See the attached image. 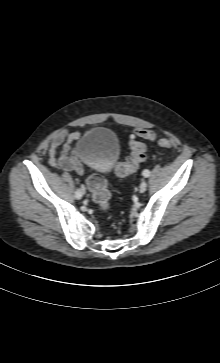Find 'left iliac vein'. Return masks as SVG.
I'll return each mask as SVG.
<instances>
[{
    "label": "left iliac vein",
    "instance_id": "left-iliac-vein-1",
    "mask_svg": "<svg viewBox=\"0 0 220 363\" xmlns=\"http://www.w3.org/2000/svg\"><path fill=\"white\" fill-rule=\"evenodd\" d=\"M147 189V182L146 181H143L141 184H140V187H139V191L140 193H144Z\"/></svg>",
    "mask_w": 220,
    "mask_h": 363
}]
</instances>
